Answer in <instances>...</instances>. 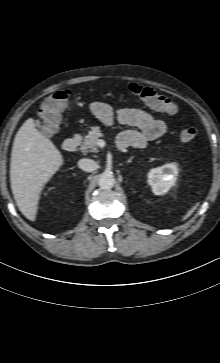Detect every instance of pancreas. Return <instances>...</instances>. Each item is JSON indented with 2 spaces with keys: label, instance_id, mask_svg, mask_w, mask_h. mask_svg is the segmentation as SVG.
<instances>
[{
  "label": "pancreas",
  "instance_id": "cf45deb5",
  "mask_svg": "<svg viewBox=\"0 0 220 363\" xmlns=\"http://www.w3.org/2000/svg\"><path fill=\"white\" fill-rule=\"evenodd\" d=\"M103 136L99 128H93L84 138L81 148L86 152H98V141Z\"/></svg>",
  "mask_w": 220,
  "mask_h": 363
}]
</instances>
